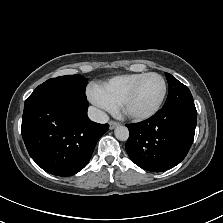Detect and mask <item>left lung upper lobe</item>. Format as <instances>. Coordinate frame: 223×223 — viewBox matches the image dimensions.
I'll return each mask as SVG.
<instances>
[{"mask_svg":"<svg viewBox=\"0 0 223 223\" xmlns=\"http://www.w3.org/2000/svg\"><path fill=\"white\" fill-rule=\"evenodd\" d=\"M166 78L169 84V93L163 107L178 104L194 105L191 92L184 84H182L169 73H166Z\"/></svg>","mask_w":223,"mask_h":223,"instance_id":"left-lung-upper-lobe-1","label":"left lung upper lobe"}]
</instances>
